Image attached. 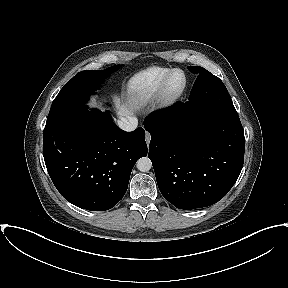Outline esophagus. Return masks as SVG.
Listing matches in <instances>:
<instances>
[{"label":"esophagus","instance_id":"34e87169","mask_svg":"<svg viewBox=\"0 0 288 288\" xmlns=\"http://www.w3.org/2000/svg\"><path fill=\"white\" fill-rule=\"evenodd\" d=\"M150 140H151V135H150L149 132L146 131L145 132V141H146V143L149 144Z\"/></svg>","mask_w":288,"mask_h":288}]
</instances>
